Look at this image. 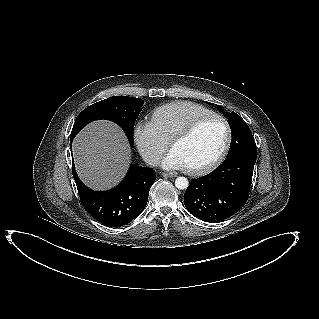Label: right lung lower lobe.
I'll return each mask as SVG.
<instances>
[{
  "label": "right lung lower lobe",
  "instance_id": "right-lung-lower-lobe-1",
  "mask_svg": "<svg viewBox=\"0 0 319 319\" xmlns=\"http://www.w3.org/2000/svg\"><path fill=\"white\" fill-rule=\"evenodd\" d=\"M71 143L72 141L70 147ZM73 177L83 207L95 220L109 227L126 225L144 210L149 190L156 178L152 168L133 164L118 186L98 192L89 189L81 182L74 165Z\"/></svg>",
  "mask_w": 319,
  "mask_h": 319
}]
</instances>
